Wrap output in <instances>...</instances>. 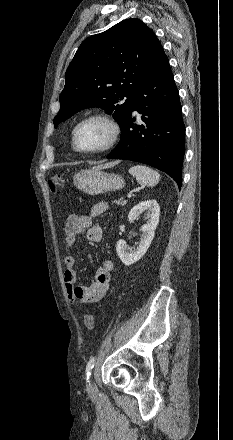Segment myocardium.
I'll return each mask as SVG.
<instances>
[{
  "mask_svg": "<svg viewBox=\"0 0 233 440\" xmlns=\"http://www.w3.org/2000/svg\"><path fill=\"white\" fill-rule=\"evenodd\" d=\"M91 120H98V121L105 123L108 126V128L110 129V136H109V139L106 142V144L103 145L102 147L92 149V150H86V149H82L81 147H79V145L77 143V135H78L79 128L84 123L91 121ZM120 136H121V127H120L119 123L116 121V119L111 114L106 113V112H94V113H91V114L84 116L74 126L73 131H72V145H73V148L77 152H80L83 154H100V153H104V152L111 150L119 141Z\"/></svg>",
  "mask_w": 233,
  "mask_h": 440,
  "instance_id": "myocardium-1",
  "label": "myocardium"
}]
</instances>
